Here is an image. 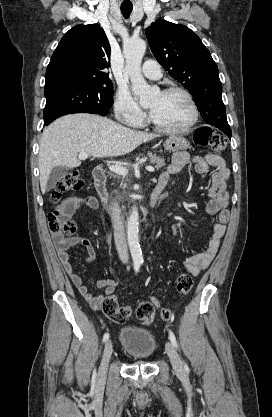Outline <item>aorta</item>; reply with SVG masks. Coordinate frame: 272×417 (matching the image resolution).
<instances>
[{
  "mask_svg": "<svg viewBox=\"0 0 272 417\" xmlns=\"http://www.w3.org/2000/svg\"><path fill=\"white\" fill-rule=\"evenodd\" d=\"M145 50L146 43L142 39H130L123 46V54L126 60L125 69L130 77L132 91L139 97L142 106L149 105L159 93L158 87L150 86L141 74V62ZM138 220V209L134 206L127 222L128 245L134 262L143 260L139 245Z\"/></svg>",
  "mask_w": 272,
  "mask_h": 417,
  "instance_id": "aorta-1",
  "label": "aorta"
}]
</instances>
